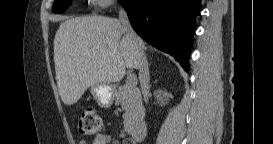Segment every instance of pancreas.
<instances>
[{
    "instance_id": "pancreas-1",
    "label": "pancreas",
    "mask_w": 273,
    "mask_h": 144,
    "mask_svg": "<svg viewBox=\"0 0 273 144\" xmlns=\"http://www.w3.org/2000/svg\"><path fill=\"white\" fill-rule=\"evenodd\" d=\"M115 102L120 103L125 110L123 124L125 129H131L144 115L140 90L127 84L116 90Z\"/></svg>"
}]
</instances>
